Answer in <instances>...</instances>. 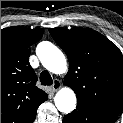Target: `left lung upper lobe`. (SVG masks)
Segmentation results:
<instances>
[{"instance_id":"1","label":"left lung upper lobe","mask_w":123,"mask_h":123,"mask_svg":"<svg viewBox=\"0 0 123 123\" xmlns=\"http://www.w3.org/2000/svg\"><path fill=\"white\" fill-rule=\"evenodd\" d=\"M69 59L65 84L77 102L120 114L123 109V56L106 37L90 28H51Z\"/></svg>"}]
</instances>
